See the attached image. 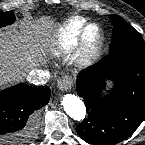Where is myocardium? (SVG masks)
Listing matches in <instances>:
<instances>
[{"label":"myocardium","mask_w":145,"mask_h":145,"mask_svg":"<svg viewBox=\"0 0 145 145\" xmlns=\"http://www.w3.org/2000/svg\"><path fill=\"white\" fill-rule=\"evenodd\" d=\"M104 40V32L99 24L95 22L84 24L78 39V61L81 64L95 61L102 52Z\"/></svg>","instance_id":"1"}]
</instances>
